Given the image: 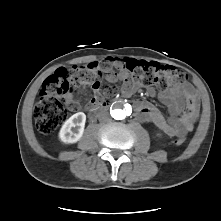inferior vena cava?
<instances>
[{"instance_id":"obj_1","label":"inferior vena cava","mask_w":221,"mask_h":221,"mask_svg":"<svg viewBox=\"0 0 221 221\" xmlns=\"http://www.w3.org/2000/svg\"><path fill=\"white\" fill-rule=\"evenodd\" d=\"M99 120L100 121H109L110 116H109L108 112H101L99 115Z\"/></svg>"}]
</instances>
